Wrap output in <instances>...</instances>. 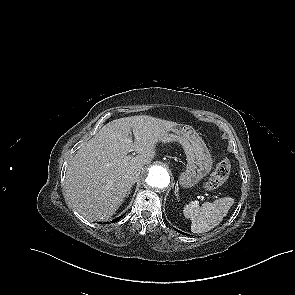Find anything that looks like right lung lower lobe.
Segmentation results:
<instances>
[{
  "instance_id": "obj_1",
  "label": "right lung lower lobe",
  "mask_w": 295,
  "mask_h": 295,
  "mask_svg": "<svg viewBox=\"0 0 295 295\" xmlns=\"http://www.w3.org/2000/svg\"><path fill=\"white\" fill-rule=\"evenodd\" d=\"M122 217H123V215L120 216V217H118V218H116V219H114L113 222L120 220Z\"/></svg>"
}]
</instances>
